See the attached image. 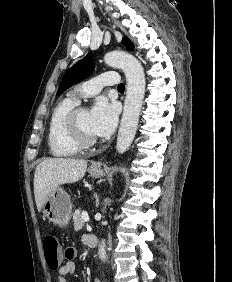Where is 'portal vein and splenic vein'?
<instances>
[{
    "label": "portal vein and splenic vein",
    "mask_w": 232,
    "mask_h": 282,
    "mask_svg": "<svg viewBox=\"0 0 232 282\" xmlns=\"http://www.w3.org/2000/svg\"><path fill=\"white\" fill-rule=\"evenodd\" d=\"M82 219L85 221V222H88L89 221V215L87 212H82Z\"/></svg>",
    "instance_id": "portal-vein-and-splenic-vein-1"
}]
</instances>
